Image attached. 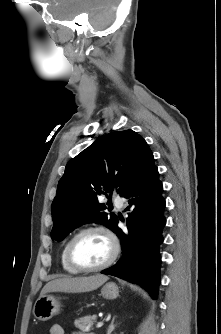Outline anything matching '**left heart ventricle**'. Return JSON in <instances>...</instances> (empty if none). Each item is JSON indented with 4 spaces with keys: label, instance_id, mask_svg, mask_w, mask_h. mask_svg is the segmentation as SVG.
Masks as SVG:
<instances>
[{
    "label": "left heart ventricle",
    "instance_id": "1",
    "mask_svg": "<svg viewBox=\"0 0 221 334\" xmlns=\"http://www.w3.org/2000/svg\"><path fill=\"white\" fill-rule=\"evenodd\" d=\"M111 250V242L104 233L91 231L75 241L72 256L77 264L92 267L104 263L110 256Z\"/></svg>",
    "mask_w": 221,
    "mask_h": 334
}]
</instances>
